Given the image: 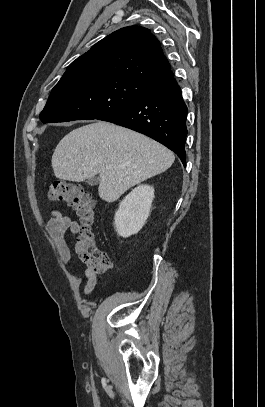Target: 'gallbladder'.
I'll list each match as a JSON object with an SVG mask.
<instances>
[{
	"label": "gallbladder",
	"instance_id": "1",
	"mask_svg": "<svg viewBox=\"0 0 265 407\" xmlns=\"http://www.w3.org/2000/svg\"><path fill=\"white\" fill-rule=\"evenodd\" d=\"M98 183H99L98 177H92L87 180V184H89L90 186L98 185Z\"/></svg>",
	"mask_w": 265,
	"mask_h": 407
}]
</instances>
